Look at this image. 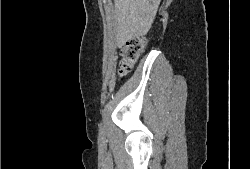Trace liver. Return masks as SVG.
<instances>
[{"label":"liver","instance_id":"6515ba94","mask_svg":"<svg viewBox=\"0 0 250 169\" xmlns=\"http://www.w3.org/2000/svg\"><path fill=\"white\" fill-rule=\"evenodd\" d=\"M117 18V44L147 34L160 0H114Z\"/></svg>","mask_w":250,"mask_h":169}]
</instances>
